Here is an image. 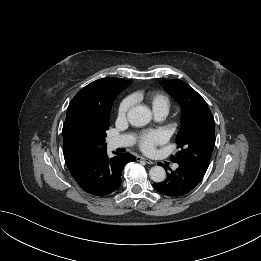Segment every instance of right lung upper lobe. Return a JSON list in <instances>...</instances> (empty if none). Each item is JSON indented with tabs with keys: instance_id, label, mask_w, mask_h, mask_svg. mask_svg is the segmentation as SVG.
<instances>
[{
	"instance_id": "obj_1",
	"label": "right lung upper lobe",
	"mask_w": 261,
	"mask_h": 261,
	"mask_svg": "<svg viewBox=\"0 0 261 261\" xmlns=\"http://www.w3.org/2000/svg\"><path fill=\"white\" fill-rule=\"evenodd\" d=\"M131 83L124 79L102 78L82 88L72 99L63 125V154L70 172L98 153L87 151L77 143V128L105 112L116 93Z\"/></svg>"
}]
</instances>
